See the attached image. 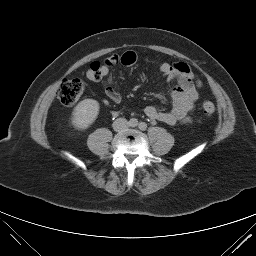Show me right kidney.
Wrapping results in <instances>:
<instances>
[{"instance_id":"obj_1","label":"right kidney","mask_w":256,"mask_h":256,"mask_svg":"<svg viewBox=\"0 0 256 256\" xmlns=\"http://www.w3.org/2000/svg\"><path fill=\"white\" fill-rule=\"evenodd\" d=\"M99 108V103L94 99L82 100L72 112V125L78 130L87 129L95 122Z\"/></svg>"}]
</instances>
